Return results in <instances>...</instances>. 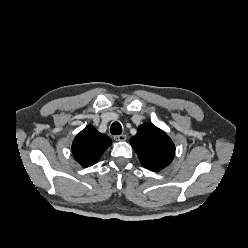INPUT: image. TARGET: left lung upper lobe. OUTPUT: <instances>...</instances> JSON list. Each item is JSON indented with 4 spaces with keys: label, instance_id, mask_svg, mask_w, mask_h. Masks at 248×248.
Returning a JSON list of instances; mask_svg holds the SVG:
<instances>
[{
    "label": "left lung upper lobe",
    "instance_id": "5c2ea615",
    "mask_svg": "<svg viewBox=\"0 0 248 248\" xmlns=\"http://www.w3.org/2000/svg\"><path fill=\"white\" fill-rule=\"evenodd\" d=\"M130 142L142 165L151 171L164 169L175 155L172 140L152 123L140 125Z\"/></svg>",
    "mask_w": 248,
    "mask_h": 248
}]
</instances>
